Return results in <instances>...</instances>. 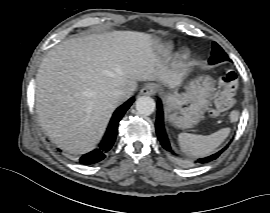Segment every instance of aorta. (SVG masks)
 I'll return each mask as SVG.
<instances>
[{
    "label": "aorta",
    "mask_w": 270,
    "mask_h": 213,
    "mask_svg": "<svg viewBox=\"0 0 270 213\" xmlns=\"http://www.w3.org/2000/svg\"><path fill=\"white\" fill-rule=\"evenodd\" d=\"M155 107V101L148 96L139 97L136 101V110L141 115H151L154 112Z\"/></svg>",
    "instance_id": "obj_1"
}]
</instances>
